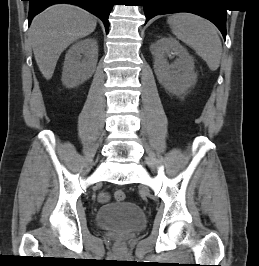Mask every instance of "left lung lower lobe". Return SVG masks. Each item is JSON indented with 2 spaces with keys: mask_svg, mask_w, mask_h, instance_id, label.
<instances>
[{
  "mask_svg": "<svg viewBox=\"0 0 259 266\" xmlns=\"http://www.w3.org/2000/svg\"><path fill=\"white\" fill-rule=\"evenodd\" d=\"M142 3L146 22L156 15L190 12L209 19L226 38V10L213 7L216 0H142Z\"/></svg>",
  "mask_w": 259,
  "mask_h": 266,
  "instance_id": "obj_1",
  "label": "left lung lower lobe"
}]
</instances>
